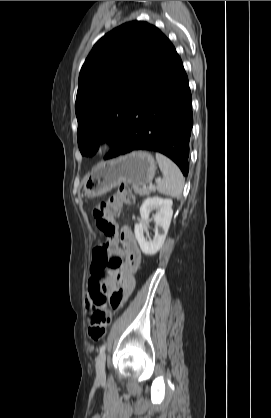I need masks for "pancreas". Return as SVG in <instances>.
Returning <instances> with one entry per match:
<instances>
[{
	"mask_svg": "<svg viewBox=\"0 0 271 418\" xmlns=\"http://www.w3.org/2000/svg\"><path fill=\"white\" fill-rule=\"evenodd\" d=\"M131 188L135 194H139L141 196H147V195H150L151 192H155V188L150 189L146 187H140L135 184H133Z\"/></svg>",
	"mask_w": 271,
	"mask_h": 418,
	"instance_id": "obj_1",
	"label": "pancreas"
}]
</instances>
